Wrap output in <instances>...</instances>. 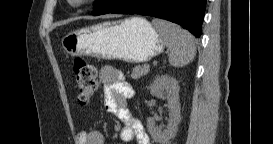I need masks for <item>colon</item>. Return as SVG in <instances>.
Listing matches in <instances>:
<instances>
[{"label": "colon", "instance_id": "1", "mask_svg": "<svg viewBox=\"0 0 273 144\" xmlns=\"http://www.w3.org/2000/svg\"><path fill=\"white\" fill-rule=\"evenodd\" d=\"M73 71L80 104L90 101L97 88V72L93 65L81 58L73 63Z\"/></svg>", "mask_w": 273, "mask_h": 144}]
</instances>
